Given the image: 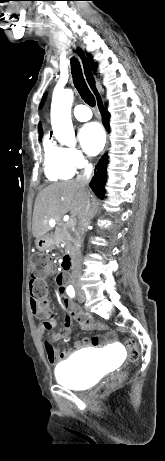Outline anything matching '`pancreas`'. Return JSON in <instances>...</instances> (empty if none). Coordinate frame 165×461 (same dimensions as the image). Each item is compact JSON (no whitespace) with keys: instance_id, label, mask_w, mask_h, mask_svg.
<instances>
[{"instance_id":"pancreas-1","label":"pancreas","mask_w":165,"mask_h":461,"mask_svg":"<svg viewBox=\"0 0 165 461\" xmlns=\"http://www.w3.org/2000/svg\"><path fill=\"white\" fill-rule=\"evenodd\" d=\"M68 226L69 225H64V228H57L55 231L54 240L56 242H64L66 244V248L73 252L76 248V242L73 236H71L70 232L68 231Z\"/></svg>"}]
</instances>
